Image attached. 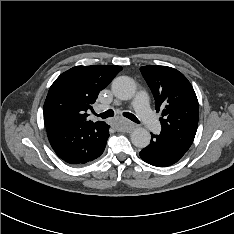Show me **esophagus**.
<instances>
[{
    "instance_id": "1",
    "label": "esophagus",
    "mask_w": 234,
    "mask_h": 234,
    "mask_svg": "<svg viewBox=\"0 0 234 234\" xmlns=\"http://www.w3.org/2000/svg\"><path fill=\"white\" fill-rule=\"evenodd\" d=\"M134 129V125L132 123H127L125 127L122 128L125 132H131Z\"/></svg>"
}]
</instances>
